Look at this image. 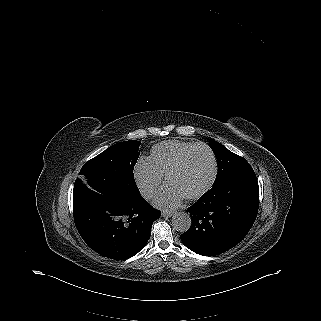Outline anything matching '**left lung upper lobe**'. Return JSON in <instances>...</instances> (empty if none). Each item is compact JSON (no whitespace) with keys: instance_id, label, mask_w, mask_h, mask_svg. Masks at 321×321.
Segmentation results:
<instances>
[{"instance_id":"1","label":"left lung upper lobe","mask_w":321,"mask_h":321,"mask_svg":"<svg viewBox=\"0 0 321 321\" xmlns=\"http://www.w3.org/2000/svg\"><path fill=\"white\" fill-rule=\"evenodd\" d=\"M209 144L218 160V173L214 184L220 182L224 177L234 171L251 168L250 164L244 158L229 151L219 142L211 140Z\"/></svg>"}]
</instances>
